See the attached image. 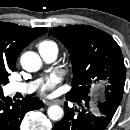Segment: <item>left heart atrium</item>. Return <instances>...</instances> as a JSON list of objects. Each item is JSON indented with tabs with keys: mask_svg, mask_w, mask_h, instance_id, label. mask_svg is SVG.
Here are the masks:
<instances>
[{
	"mask_svg": "<svg viewBox=\"0 0 130 130\" xmlns=\"http://www.w3.org/2000/svg\"><path fill=\"white\" fill-rule=\"evenodd\" d=\"M58 83V79L55 76H50L47 78L43 84L41 85V93L46 94L48 93L51 89L55 87V85Z\"/></svg>",
	"mask_w": 130,
	"mask_h": 130,
	"instance_id": "1",
	"label": "left heart atrium"
}]
</instances>
